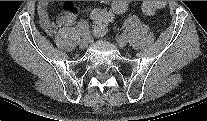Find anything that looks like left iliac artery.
Wrapping results in <instances>:
<instances>
[{"label": "left iliac artery", "instance_id": "44dca946", "mask_svg": "<svg viewBox=\"0 0 207 121\" xmlns=\"http://www.w3.org/2000/svg\"><path fill=\"white\" fill-rule=\"evenodd\" d=\"M136 21H137V16L136 15H130L127 19H125L124 24H123V32L124 33H129L130 32V27Z\"/></svg>", "mask_w": 207, "mask_h": 121}]
</instances>
